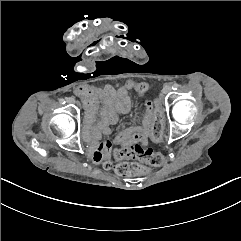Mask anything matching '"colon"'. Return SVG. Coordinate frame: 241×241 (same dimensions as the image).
<instances>
[{
  "mask_svg": "<svg viewBox=\"0 0 241 241\" xmlns=\"http://www.w3.org/2000/svg\"><path fill=\"white\" fill-rule=\"evenodd\" d=\"M137 93L139 95L145 96L150 93L151 87L148 82L142 81L137 84L136 87ZM163 134V117L160 111H157L155 114V122L152 129V140L155 142H159L162 139ZM103 158V156H102ZM141 159L144 162L158 166L164 162V157L159 153L155 152L152 148L144 146L142 144H134L132 146H126L124 148L123 153H114V159L116 161H120L123 159ZM114 168L115 173L120 174L122 176H131L135 174L143 175L145 172L149 171L151 168L147 165L141 166L137 164H133L131 162L124 163L121 162L119 165H112ZM105 172L110 170L108 165L103 167Z\"/></svg>",
  "mask_w": 241,
  "mask_h": 241,
  "instance_id": "obj_1",
  "label": "colon"
}]
</instances>
